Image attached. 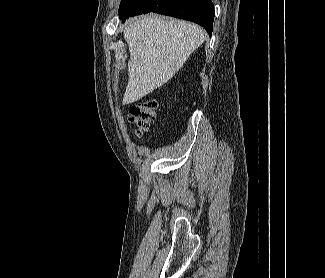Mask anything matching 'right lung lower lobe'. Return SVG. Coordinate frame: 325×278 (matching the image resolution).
<instances>
[{"mask_svg":"<svg viewBox=\"0 0 325 278\" xmlns=\"http://www.w3.org/2000/svg\"><path fill=\"white\" fill-rule=\"evenodd\" d=\"M156 12L195 22L205 28L211 36L214 6L211 0H135L134 10L122 17L125 22L130 16Z\"/></svg>","mask_w":325,"mask_h":278,"instance_id":"1","label":"right lung lower lobe"}]
</instances>
